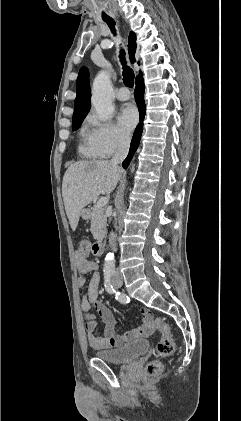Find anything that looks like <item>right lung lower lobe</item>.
Returning <instances> with one entry per match:
<instances>
[{"label": "right lung lower lobe", "mask_w": 241, "mask_h": 421, "mask_svg": "<svg viewBox=\"0 0 241 421\" xmlns=\"http://www.w3.org/2000/svg\"><path fill=\"white\" fill-rule=\"evenodd\" d=\"M136 83V88L134 91V95H135V100L137 102V106L139 108L140 111V123L137 125L132 141H131V145H130V151L129 154L127 156V158L123 161L122 165L123 167L126 169L132 159V156L134 155L135 151L138 148L139 145V141L141 138V133L143 130V119L145 116V102H144V81H143V76L142 74H139L135 80Z\"/></svg>", "instance_id": "98d812e1"}]
</instances>
